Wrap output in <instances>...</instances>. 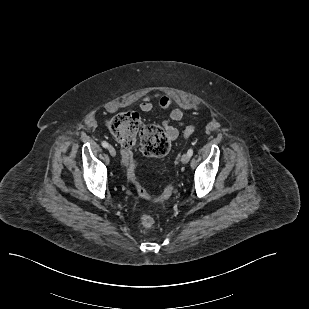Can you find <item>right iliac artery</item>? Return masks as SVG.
Instances as JSON below:
<instances>
[{
    "mask_svg": "<svg viewBox=\"0 0 309 309\" xmlns=\"http://www.w3.org/2000/svg\"><path fill=\"white\" fill-rule=\"evenodd\" d=\"M102 146H103L104 148H108V147H109V144H108V142L103 141V142H102Z\"/></svg>",
    "mask_w": 309,
    "mask_h": 309,
    "instance_id": "82829eb1",
    "label": "right iliac artery"
}]
</instances>
